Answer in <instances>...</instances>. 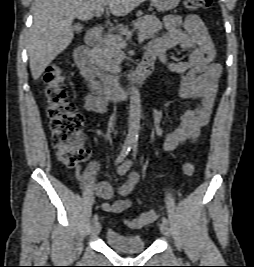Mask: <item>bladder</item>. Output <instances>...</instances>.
<instances>
[{
    "label": "bladder",
    "instance_id": "31cf9c89",
    "mask_svg": "<svg viewBox=\"0 0 254 267\" xmlns=\"http://www.w3.org/2000/svg\"><path fill=\"white\" fill-rule=\"evenodd\" d=\"M105 239L110 247L120 252L136 253L146 248L145 240L140 234H127L114 228L107 230Z\"/></svg>",
    "mask_w": 254,
    "mask_h": 267
}]
</instances>
